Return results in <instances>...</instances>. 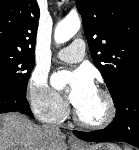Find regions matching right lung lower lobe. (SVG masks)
<instances>
[{"instance_id": "right-lung-lower-lobe-1", "label": "right lung lower lobe", "mask_w": 139, "mask_h": 150, "mask_svg": "<svg viewBox=\"0 0 139 150\" xmlns=\"http://www.w3.org/2000/svg\"><path fill=\"white\" fill-rule=\"evenodd\" d=\"M6 112H20L34 118L26 94L0 87V114Z\"/></svg>"}]
</instances>
